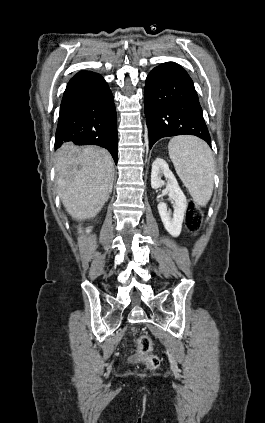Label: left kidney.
I'll list each match as a JSON object with an SVG mask.
<instances>
[{
	"mask_svg": "<svg viewBox=\"0 0 265 423\" xmlns=\"http://www.w3.org/2000/svg\"><path fill=\"white\" fill-rule=\"evenodd\" d=\"M164 175L167 184L166 188L169 192V197L173 203V216L167 210V205L164 202L158 204V211L165 229L173 236L178 237L181 233L184 214L186 212L188 202L186 196L178 185V182L169 169L167 162L162 158H157L152 164L151 171V186L154 189L161 188L164 185L161 176Z\"/></svg>",
	"mask_w": 265,
	"mask_h": 423,
	"instance_id": "1",
	"label": "left kidney"
}]
</instances>
